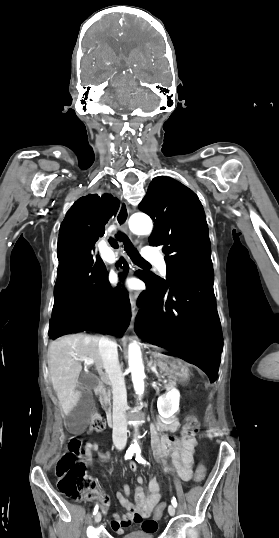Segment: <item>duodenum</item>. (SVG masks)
<instances>
[{
	"mask_svg": "<svg viewBox=\"0 0 279 538\" xmlns=\"http://www.w3.org/2000/svg\"><path fill=\"white\" fill-rule=\"evenodd\" d=\"M105 386H106V383H105L104 381H101V382L99 383V386L97 387V390H98L99 392H102V391H104V387H105ZM106 413H107V414H106V417H107L106 422H107V423L105 424V427H106L107 429H110V428H112V422H113V419H112V418H114V410H113L112 408H108V409L106 410Z\"/></svg>",
	"mask_w": 279,
	"mask_h": 538,
	"instance_id": "1",
	"label": "duodenum"
}]
</instances>
